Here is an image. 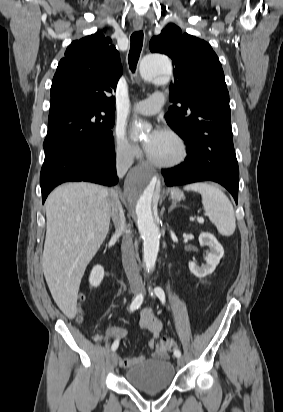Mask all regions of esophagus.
Here are the masks:
<instances>
[{
  "label": "esophagus",
  "mask_w": 283,
  "mask_h": 412,
  "mask_svg": "<svg viewBox=\"0 0 283 412\" xmlns=\"http://www.w3.org/2000/svg\"><path fill=\"white\" fill-rule=\"evenodd\" d=\"M143 26V21L141 19H137L133 21V27L135 30H141Z\"/></svg>",
  "instance_id": "34e87169"
}]
</instances>
